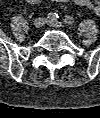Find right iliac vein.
Here are the masks:
<instances>
[{
    "label": "right iliac vein",
    "mask_w": 100,
    "mask_h": 118,
    "mask_svg": "<svg viewBox=\"0 0 100 118\" xmlns=\"http://www.w3.org/2000/svg\"><path fill=\"white\" fill-rule=\"evenodd\" d=\"M46 22V19L43 17L36 18L34 21V26L36 28H41Z\"/></svg>",
    "instance_id": "63e3f726"
}]
</instances>
